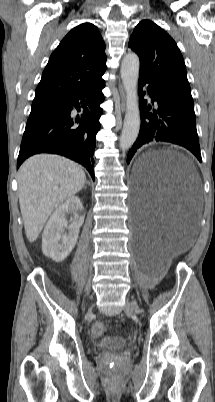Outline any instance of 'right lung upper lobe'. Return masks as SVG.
I'll return each instance as SVG.
<instances>
[{
    "instance_id": "cb5924a9",
    "label": "right lung upper lobe",
    "mask_w": 215,
    "mask_h": 402,
    "mask_svg": "<svg viewBox=\"0 0 215 402\" xmlns=\"http://www.w3.org/2000/svg\"><path fill=\"white\" fill-rule=\"evenodd\" d=\"M105 44L91 23L73 28L51 54L35 102L62 101L95 83L106 70Z\"/></svg>"
}]
</instances>
